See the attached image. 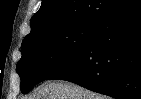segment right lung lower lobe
I'll return each instance as SVG.
<instances>
[{
	"instance_id": "obj_1",
	"label": "right lung lower lobe",
	"mask_w": 141,
	"mask_h": 99,
	"mask_svg": "<svg viewBox=\"0 0 141 99\" xmlns=\"http://www.w3.org/2000/svg\"><path fill=\"white\" fill-rule=\"evenodd\" d=\"M53 79L116 99H141V0L103 18L86 46Z\"/></svg>"
}]
</instances>
